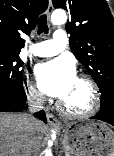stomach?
I'll list each match as a JSON object with an SVG mask.
<instances>
[{
  "mask_svg": "<svg viewBox=\"0 0 114 156\" xmlns=\"http://www.w3.org/2000/svg\"><path fill=\"white\" fill-rule=\"evenodd\" d=\"M61 129L65 156H114V132L106 123L70 122Z\"/></svg>",
  "mask_w": 114,
  "mask_h": 156,
  "instance_id": "stomach-1",
  "label": "stomach"
}]
</instances>
